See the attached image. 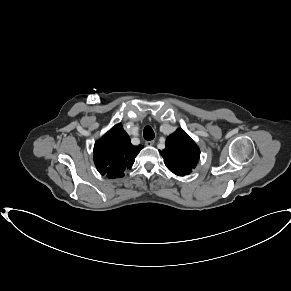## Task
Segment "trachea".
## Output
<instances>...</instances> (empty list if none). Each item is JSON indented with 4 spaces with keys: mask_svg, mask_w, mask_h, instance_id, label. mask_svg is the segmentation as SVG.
Returning a JSON list of instances; mask_svg holds the SVG:
<instances>
[{
    "mask_svg": "<svg viewBox=\"0 0 291 291\" xmlns=\"http://www.w3.org/2000/svg\"><path fill=\"white\" fill-rule=\"evenodd\" d=\"M143 136L146 140H152L155 137V133L150 126H146L143 131Z\"/></svg>",
    "mask_w": 291,
    "mask_h": 291,
    "instance_id": "3493384b",
    "label": "trachea"
}]
</instances>
